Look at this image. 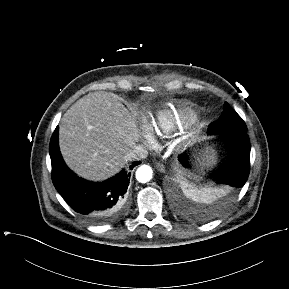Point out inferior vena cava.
Returning <instances> with one entry per match:
<instances>
[{"instance_id":"1","label":"inferior vena cava","mask_w":289,"mask_h":289,"mask_svg":"<svg viewBox=\"0 0 289 289\" xmlns=\"http://www.w3.org/2000/svg\"><path fill=\"white\" fill-rule=\"evenodd\" d=\"M148 156V151L142 145H135L126 155V160H141Z\"/></svg>"}]
</instances>
